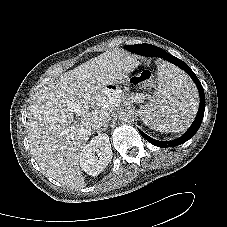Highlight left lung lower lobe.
I'll return each mask as SVG.
<instances>
[{"instance_id": "0a47b994", "label": "left lung lower lobe", "mask_w": 227, "mask_h": 227, "mask_svg": "<svg viewBox=\"0 0 227 227\" xmlns=\"http://www.w3.org/2000/svg\"><path fill=\"white\" fill-rule=\"evenodd\" d=\"M126 49L131 51V52L137 53L139 55L157 56V57L164 58L165 60H168L169 62H172L175 65L179 66L186 73H188L190 75V77L193 79V81L195 82V84H196V86L199 90L200 106H199L198 114H197L193 124L187 130V132L184 133V135H182L181 137H179L175 140H171V141H157L155 139H152L151 137H149L145 133H143L140 129H138L140 134L148 142H150L151 144H153L155 146H159V147H173V146H177V145H180V144L188 141L190 138H192L194 136V134L199 129V127L202 123V120H203L204 110H205L204 90H203V87H202L200 81L198 80L197 76L195 75V73L183 61H181L180 59H178L176 57H173L172 55L168 54L167 52H165L164 50H162V49H160L156 46H153V45H150V44H139V45H130V46L126 47Z\"/></svg>"}]
</instances>
